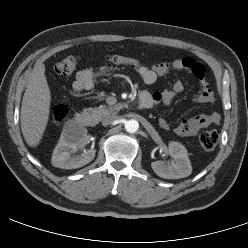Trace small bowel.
<instances>
[{"mask_svg":"<svg viewBox=\"0 0 248 248\" xmlns=\"http://www.w3.org/2000/svg\"><path fill=\"white\" fill-rule=\"evenodd\" d=\"M144 83L151 85L154 84L159 77L167 75L171 70L178 72L186 71L191 73L198 81L200 91L194 96V101L197 103H213L215 101V94L205 75L206 70L202 63L195 61L190 57L177 59L172 63L160 62L151 66L143 65L136 69ZM109 68L102 67L98 70L91 68L81 69L76 73L75 80L72 83L74 92L79 93L82 91L92 89L98 78L106 75ZM184 85L180 80L173 83L171 88L165 89L162 92L143 91L142 94L149 95L152 99L153 105L160 102L164 104L171 103L174 98L183 91ZM220 114L213 111L209 114H202L196 117L182 120L178 125L173 128V131L183 137H190L197 135L201 130L220 122ZM159 126L164 130L171 128L168 121L164 118L159 119Z\"/></svg>","mask_w":248,"mask_h":248,"instance_id":"c3829d8e","label":"small bowel"}]
</instances>
